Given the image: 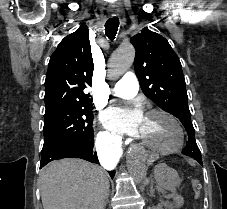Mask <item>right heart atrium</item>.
Listing matches in <instances>:
<instances>
[{"instance_id":"1","label":"right heart atrium","mask_w":227,"mask_h":209,"mask_svg":"<svg viewBox=\"0 0 227 209\" xmlns=\"http://www.w3.org/2000/svg\"><path fill=\"white\" fill-rule=\"evenodd\" d=\"M96 148L104 155H117L123 147L122 137L111 130H101L96 135Z\"/></svg>"}]
</instances>
